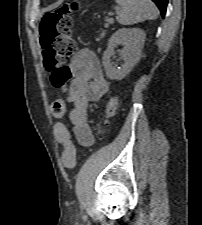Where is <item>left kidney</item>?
<instances>
[{
	"label": "left kidney",
	"mask_w": 202,
	"mask_h": 225,
	"mask_svg": "<svg viewBox=\"0 0 202 225\" xmlns=\"http://www.w3.org/2000/svg\"><path fill=\"white\" fill-rule=\"evenodd\" d=\"M145 38V32L139 28H121L110 37L108 48L103 54V66L109 79L121 80L130 73L140 59ZM119 44L125 45L122 51L124 65L121 67L111 63L114 48Z\"/></svg>",
	"instance_id": "left-kidney-1"
}]
</instances>
